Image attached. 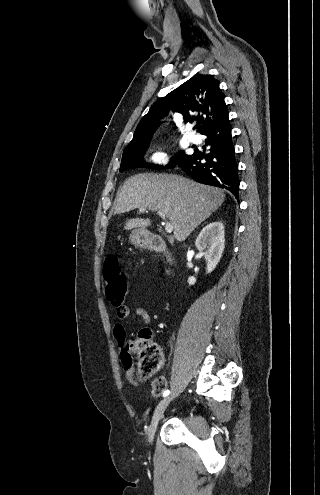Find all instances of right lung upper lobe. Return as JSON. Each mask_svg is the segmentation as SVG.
I'll list each match as a JSON object with an SVG mask.
<instances>
[{
  "mask_svg": "<svg viewBox=\"0 0 320 495\" xmlns=\"http://www.w3.org/2000/svg\"><path fill=\"white\" fill-rule=\"evenodd\" d=\"M170 110L182 114L184 123H199L201 134L228 119V109L219 81L211 75H194L153 104L139 122L133 139L124 151L149 144L159 119Z\"/></svg>",
  "mask_w": 320,
  "mask_h": 495,
  "instance_id": "right-lung-upper-lobe-1",
  "label": "right lung upper lobe"
}]
</instances>
